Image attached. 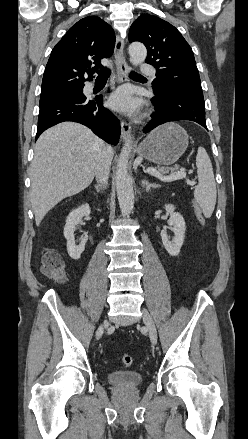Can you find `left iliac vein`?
I'll use <instances>...</instances> for the list:
<instances>
[{
	"mask_svg": "<svg viewBox=\"0 0 248 439\" xmlns=\"http://www.w3.org/2000/svg\"><path fill=\"white\" fill-rule=\"evenodd\" d=\"M143 321L148 330L150 340L152 344H156L157 342V330L154 324V321L146 309H142Z\"/></svg>",
	"mask_w": 248,
	"mask_h": 439,
	"instance_id": "1",
	"label": "left iliac vein"
}]
</instances>
